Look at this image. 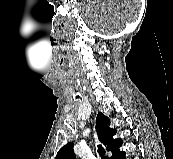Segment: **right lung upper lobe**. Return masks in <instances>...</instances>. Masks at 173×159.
Segmentation results:
<instances>
[{
	"mask_svg": "<svg viewBox=\"0 0 173 159\" xmlns=\"http://www.w3.org/2000/svg\"><path fill=\"white\" fill-rule=\"evenodd\" d=\"M109 124V118L104 116L102 113H98L96 118V130L99 139L105 145L106 150L112 152L110 159H121V157L125 155L123 151L119 150V147L122 145V140L113 138L116 129L109 128ZM73 146V143H67L59 150L55 159H75L76 156L74 154Z\"/></svg>",
	"mask_w": 173,
	"mask_h": 159,
	"instance_id": "obj_1",
	"label": "right lung upper lobe"
}]
</instances>
